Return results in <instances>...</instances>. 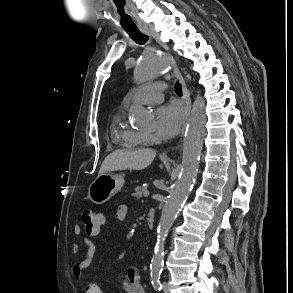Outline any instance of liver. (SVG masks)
Here are the masks:
<instances>
[{"label": "liver", "instance_id": "liver-1", "mask_svg": "<svg viewBox=\"0 0 293 293\" xmlns=\"http://www.w3.org/2000/svg\"><path fill=\"white\" fill-rule=\"evenodd\" d=\"M156 152L152 149L135 151L117 150L109 154L103 161L98 176L119 170H143L154 160Z\"/></svg>", "mask_w": 293, "mask_h": 293}]
</instances>
